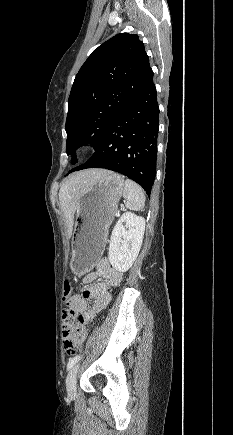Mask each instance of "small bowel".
Masks as SVG:
<instances>
[{"mask_svg": "<svg viewBox=\"0 0 233 435\" xmlns=\"http://www.w3.org/2000/svg\"><path fill=\"white\" fill-rule=\"evenodd\" d=\"M98 279L99 281L96 282ZM121 279V273L113 268L106 258H103L95 271L84 276L85 286L81 294H73L65 301L68 309L63 314V329L71 324L68 320L78 317L79 322L75 324L77 346L85 342L88 334L87 323L109 304L111 300L109 290L118 286Z\"/></svg>", "mask_w": 233, "mask_h": 435, "instance_id": "obj_1", "label": "small bowel"}]
</instances>
